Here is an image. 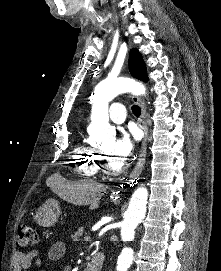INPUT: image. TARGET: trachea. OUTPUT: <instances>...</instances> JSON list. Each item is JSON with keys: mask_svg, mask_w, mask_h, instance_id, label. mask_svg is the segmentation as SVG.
<instances>
[{"mask_svg": "<svg viewBox=\"0 0 221 271\" xmlns=\"http://www.w3.org/2000/svg\"><path fill=\"white\" fill-rule=\"evenodd\" d=\"M132 113L136 116L139 117L141 115V108L137 105L132 106Z\"/></svg>", "mask_w": 221, "mask_h": 271, "instance_id": "trachea-1", "label": "trachea"}]
</instances>
